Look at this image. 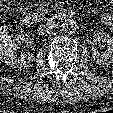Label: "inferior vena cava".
<instances>
[{
	"label": "inferior vena cava",
	"mask_w": 113,
	"mask_h": 113,
	"mask_svg": "<svg viewBox=\"0 0 113 113\" xmlns=\"http://www.w3.org/2000/svg\"><path fill=\"white\" fill-rule=\"evenodd\" d=\"M56 26V23L54 21H47L45 23L40 24L39 27V32L40 33H49L50 31H52Z\"/></svg>",
	"instance_id": "obj_1"
}]
</instances>
